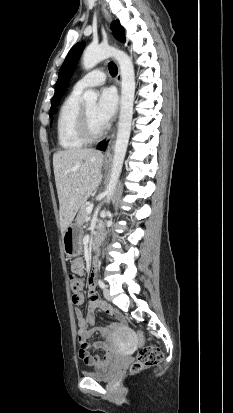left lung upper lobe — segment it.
<instances>
[{"mask_svg": "<svg viewBox=\"0 0 233 413\" xmlns=\"http://www.w3.org/2000/svg\"><path fill=\"white\" fill-rule=\"evenodd\" d=\"M111 28L113 30L114 36L122 41L125 42V33L123 27H121L119 21H115L112 23ZM83 42L75 44L71 50L69 51L68 55L66 56V59L64 63L62 64L59 75H58V80L56 82V87H55V94L52 98V103H51V109H50V116H52L59 100L61 99L65 88L70 81V78L73 74V71L75 69L76 63L78 61V58L80 56V52L83 48Z\"/></svg>", "mask_w": 233, "mask_h": 413, "instance_id": "obj_1", "label": "left lung upper lobe"}]
</instances>
